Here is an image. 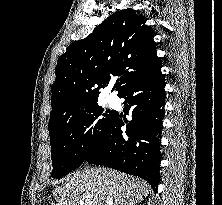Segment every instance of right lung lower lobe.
<instances>
[{
	"mask_svg": "<svg viewBox=\"0 0 222 205\" xmlns=\"http://www.w3.org/2000/svg\"><path fill=\"white\" fill-rule=\"evenodd\" d=\"M165 76L161 68L129 85L119 97L125 99L127 122L117 113L91 147L84 161L106 165L146 180L157 190L160 174V138L165 114ZM127 126L125 132L121 130Z\"/></svg>",
	"mask_w": 222,
	"mask_h": 205,
	"instance_id": "right-lung-lower-lobe-1",
	"label": "right lung lower lobe"
}]
</instances>
